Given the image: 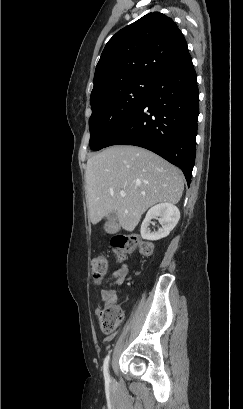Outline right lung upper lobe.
I'll use <instances>...</instances> for the list:
<instances>
[{
  "label": "right lung upper lobe",
  "instance_id": "1",
  "mask_svg": "<svg viewBox=\"0 0 243 409\" xmlns=\"http://www.w3.org/2000/svg\"><path fill=\"white\" fill-rule=\"evenodd\" d=\"M186 51L185 38L170 17L146 14L106 44L96 66L90 104L128 82L154 83Z\"/></svg>",
  "mask_w": 243,
  "mask_h": 409
}]
</instances>
